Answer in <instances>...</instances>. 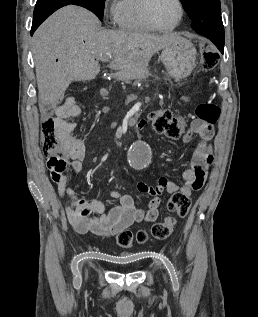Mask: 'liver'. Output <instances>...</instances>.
<instances>
[{
    "instance_id": "6515ba94",
    "label": "liver",
    "mask_w": 258,
    "mask_h": 317,
    "mask_svg": "<svg viewBox=\"0 0 258 317\" xmlns=\"http://www.w3.org/2000/svg\"><path fill=\"white\" fill-rule=\"evenodd\" d=\"M100 20L82 6L68 4L53 12L34 32V54L39 100L56 104L72 80L97 76L99 58L114 56L113 70H146L151 56L180 42L176 32L150 34L143 30H99Z\"/></svg>"
}]
</instances>
